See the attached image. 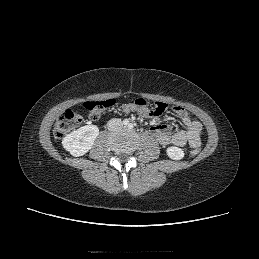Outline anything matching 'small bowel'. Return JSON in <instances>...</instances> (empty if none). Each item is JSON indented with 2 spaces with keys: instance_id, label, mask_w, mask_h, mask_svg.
Instances as JSON below:
<instances>
[{
  "instance_id": "1",
  "label": "small bowel",
  "mask_w": 259,
  "mask_h": 259,
  "mask_svg": "<svg viewBox=\"0 0 259 259\" xmlns=\"http://www.w3.org/2000/svg\"><path fill=\"white\" fill-rule=\"evenodd\" d=\"M171 110L182 122L183 129L172 133L169 125L153 122L150 131L157 141L164 146L184 147L189 145L191 148H199L203 134L202 124L192 119L187 111L180 106H172Z\"/></svg>"
}]
</instances>
